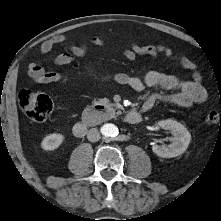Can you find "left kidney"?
I'll return each mask as SVG.
<instances>
[{
    "label": "left kidney",
    "mask_w": 221,
    "mask_h": 221,
    "mask_svg": "<svg viewBox=\"0 0 221 221\" xmlns=\"http://www.w3.org/2000/svg\"><path fill=\"white\" fill-rule=\"evenodd\" d=\"M157 125L163 129L169 130L173 135L170 145L155 144L152 146V150L157 156L162 158H173L186 151L191 141V134L184 125L171 119L159 121Z\"/></svg>",
    "instance_id": "1"
}]
</instances>
